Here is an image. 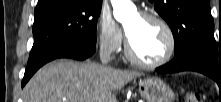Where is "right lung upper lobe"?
I'll use <instances>...</instances> for the list:
<instances>
[{"label": "right lung upper lobe", "mask_w": 221, "mask_h": 102, "mask_svg": "<svg viewBox=\"0 0 221 102\" xmlns=\"http://www.w3.org/2000/svg\"><path fill=\"white\" fill-rule=\"evenodd\" d=\"M46 1H49V0H39L38 4L44 3ZM86 1H89V2H102V0H86Z\"/></svg>", "instance_id": "1"}]
</instances>
